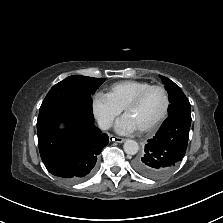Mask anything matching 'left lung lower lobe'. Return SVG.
Here are the masks:
<instances>
[{"mask_svg":"<svg viewBox=\"0 0 223 223\" xmlns=\"http://www.w3.org/2000/svg\"><path fill=\"white\" fill-rule=\"evenodd\" d=\"M191 117L170 115L156 135L145 145L144 153L133 162L144 177L161 179L169 175L186 153Z\"/></svg>","mask_w":223,"mask_h":223,"instance_id":"0a47b994","label":"left lung lower lobe"}]
</instances>
